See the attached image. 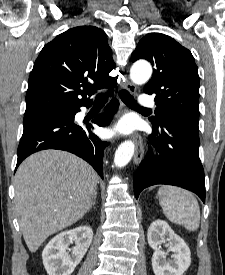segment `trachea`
Instances as JSON below:
<instances>
[{"mask_svg": "<svg viewBox=\"0 0 225 275\" xmlns=\"http://www.w3.org/2000/svg\"><path fill=\"white\" fill-rule=\"evenodd\" d=\"M119 96L121 100L129 107L134 109H142L146 110L147 108L141 107L137 104V102L134 100V98L131 96V94L127 90H121L119 92ZM108 101V96L106 95H99L95 98V105H104Z\"/></svg>", "mask_w": 225, "mask_h": 275, "instance_id": "trachea-1", "label": "trachea"}]
</instances>
